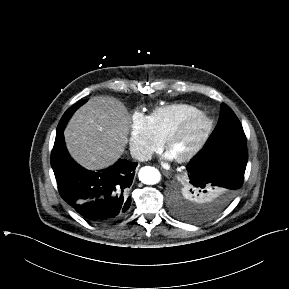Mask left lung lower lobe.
<instances>
[{"instance_id": "obj_1", "label": "left lung lower lobe", "mask_w": 289, "mask_h": 289, "mask_svg": "<svg viewBox=\"0 0 289 289\" xmlns=\"http://www.w3.org/2000/svg\"><path fill=\"white\" fill-rule=\"evenodd\" d=\"M247 160L245 143L202 149L186 166L183 182L213 195L211 210L218 214L242 186Z\"/></svg>"}]
</instances>
